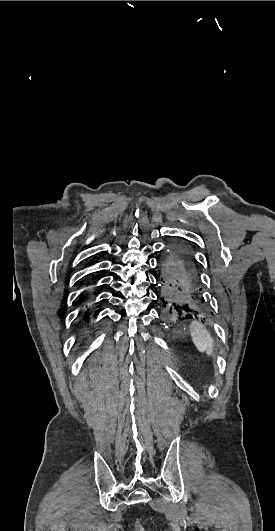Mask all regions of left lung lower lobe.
Returning <instances> with one entry per match:
<instances>
[{
	"mask_svg": "<svg viewBox=\"0 0 275 531\" xmlns=\"http://www.w3.org/2000/svg\"><path fill=\"white\" fill-rule=\"evenodd\" d=\"M160 299L166 317L184 315L187 318L209 313L201 281L189 246L174 242L160 258Z\"/></svg>",
	"mask_w": 275,
	"mask_h": 531,
	"instance_id": "obj_1",
	"label": "left lung lower lobe"
}]
</instances>
